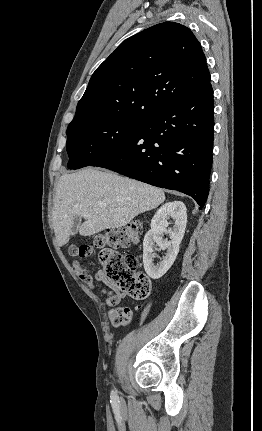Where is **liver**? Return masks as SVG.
<instances>
[{"instance_id": "obj_1", "label": "liver", "mask_w": 262, "mask_h": 431, "mask_svg": "<svg viewBox=\"0 0 262 431\" xmlns=\"http://www.w3.org/2000/svg\"><path fill=\"white\" fill-rule=\"evenodd\" d=\"M164 200L162 190L111 171L89 167L64 174L53 201L52 221L57 243L59 246L68 243L76 216L85 219L79 228L80 235L91 236L107 228H121ZM100 202L107 206L101 207Z\"/></svg>"}]
</instances>
